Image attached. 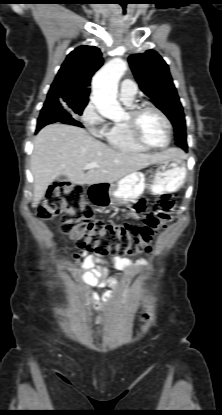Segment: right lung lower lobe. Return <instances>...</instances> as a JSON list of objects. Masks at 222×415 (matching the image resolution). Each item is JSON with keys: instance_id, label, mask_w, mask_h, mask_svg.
<instances>
[{"instance_id": "1", "label": "right lung lower lobe", "mask_w": 222, "mask_h": 415, "mask_svg": "<svg viewBox=\"0 0 222 415\" xmlns=\"http://www.w3.org/2000/svg\"><path fill=\"white\" fill-rule=\"evenodd\" d=\"M55 122L68 123L79 127H83L78 121L74 120L72 116L68 112H66L62 107H56L51 109L43 107L38 118L36 132H38L45 125Z\"/></svg>"}]
</instances>
